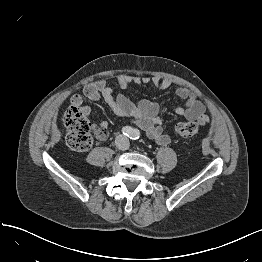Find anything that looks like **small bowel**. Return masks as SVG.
<instances>
[{
	"label": "small bowel",
	"instance_id": "small-bowel-1",
	"mask_svg": "<svg viewBox=\"0 0 262 262\" xmlns=\"http://www.w3.org/2000/svg\"><path fill=\"white\" fill-rule=\"evenodd\" d=\"M118 83L123 89L134 85H152L162 91L170 89L173 85V81L170 78H160L157 76L139 77L128 74H122ZM82 94L90 102H97L103 99L117 116L135 120L137 125L145 130L147 135L158 144L164 145L170 142V136L163 131L162 120L159 115L160 107L156 102L147 99L133 102L121 93L115 94L113 89L103 80L86 84L82 89ZM175 95L185 100L184 106L173 109L175 115L185 121H194L201 126L210 123L204 104L193 91L186 87H181L176 90ZM71 100L73 102H81V96L73 95ZM108 125L106 121L93 124L97 139L103 141L108 138Z\"/></svg>",
	"mask_w": 262,
	"mask_h": 262
}]
</instances>
